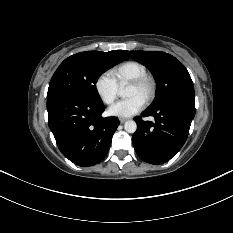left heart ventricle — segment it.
<instances>
[{"label":"left heart ventricle","mask_w":233,"mask_h":233,"mask_svg":"<svg viewBox=\"0 0 233 233\" xmlns=\"http://www.w3.org/2000/svg\"><path fill=\"white\" fill-rule=\"evenodd\" d=\"M133 95H138V96H140V97H142L144 99L145 92H144L143 89H140V88L129 85L127 87V89H126L125 96L130 97V96H133Z\"/></svg>","instance_id":"b2bd125f"}]
</instances>
